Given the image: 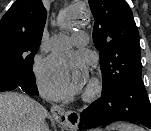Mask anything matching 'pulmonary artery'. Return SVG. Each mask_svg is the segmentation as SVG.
<instances>
[{
    "mask_svg": "<svg viewBox=\"0 0 151 131\" xmlns=\"http://www.w3.org/2000/svg\"><path fill=\"white\" fill-rule=\"evenodd\" d=\"M88 41L87 34L85 32H76L70 38L65 36H59L53 39L47 46L48 49H60L69 45H75L77 47H83Z\"/></svg>",
    "mask_w": 151,
    "mask_h": 131,
    "instance_id": "e3ab8cb5",
    "label": "pulmonary artery"
}]
</instances>
